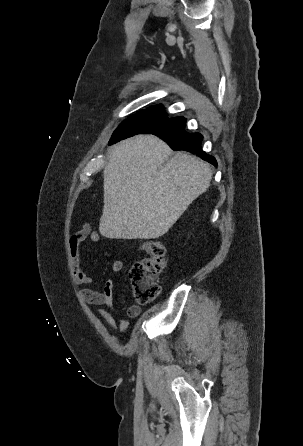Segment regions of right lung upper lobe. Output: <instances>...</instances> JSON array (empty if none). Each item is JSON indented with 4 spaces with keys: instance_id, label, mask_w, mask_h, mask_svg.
I'll use <instances>...</instances> for the list:
<instances>
[{
    "instance_id": "cb5924a9",
    "label": "right lung upper lobe",
    "mask_w": 303,
    "mask_h": 446,
    "mask_svg": "<svg viewBox=\"0 0 303 446\" xmlns=\"http://www.w3.org/2000/svg\"><path fill=\"white\" fill-rule=\"evenodd\" d=\"M148 109L149 110H160V109H163V106L162 105L151 106Z\"/></svg>"
}]
</instances>
